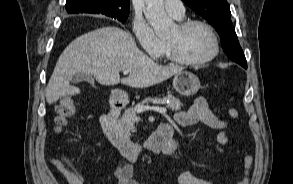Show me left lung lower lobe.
<instances>
[{
  "instance_id": "left-lung-lower-lobe-1",
  "label": "left lung lower lobe",
  "mask_w": 293,
  "mask_h": 184,
  "mask_svg": "<svg viewBox=\"0 0 293 184\" xmlns=\"http://www.w3.org/2000/svg\"><path fill=\"white\" fill-rule=\"evenodd\" d=\"M239 65H241L242 67H244L245 69H247V62L246 63H238Z\"/></svg>"
}]
</instances>
